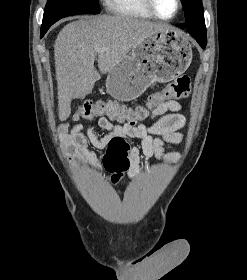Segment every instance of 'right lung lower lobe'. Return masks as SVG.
<instances>
[{"instance_id":"98d812e1","label":"right lung lower lobe","mask_w":247,"mask_h":280,"mask_svg":"<svg viewBox=\"0 0 247 280\" xmlns=\"http://www.w3.org/2000/svg\"><path fill=\"white\" fill-rule=\"evenodd\" d=\"M49 29V27H41V37H43V35L46 33V31Z\"/></svg>"}]
</instances>
